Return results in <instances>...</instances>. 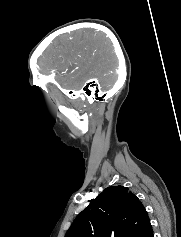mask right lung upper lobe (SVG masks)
I'll list each match as a JSON object with an SVG mask.
<instances>
[{
    "label": "right lung upper lobe",
    "instance_id": "1",
    "mask_svg": "<svg viewBox=\"0 0 181 237\" xmlns=\"http://www.w3.org/2000/svg\"><path fill=\"white\" fill-rule=\"evenodd\" d=\"M145 207L128 188L110 186L75 218L65 237H150Z\"/></svg>",
    "mask_w": 181,
    "mask_h": 237
}]
</instances>
